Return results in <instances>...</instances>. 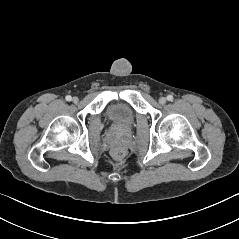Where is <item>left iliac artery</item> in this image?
Segmentation results:
<instances>
[{"instance_id": "obj_1", "label": "left iliac artery", "mask_w": 239, "mask_h": 239, "mask_svg": "<svg viewBox=\"0 0 239 239\" xmlns=\"http://www.w3.org/2000/svg\"><path fill=\"white\" fill-rule=\"evenodd\" d=\"M167 100H168V101H173V96H172V95H168V96H167Z\"/></svg>"}]
</instances>
